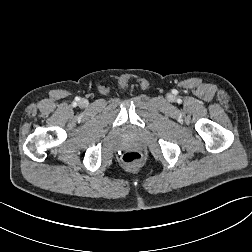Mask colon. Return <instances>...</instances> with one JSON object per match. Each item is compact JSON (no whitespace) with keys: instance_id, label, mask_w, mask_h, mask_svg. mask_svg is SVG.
Listing matches in <instances>:
<instances>
[{"instance_id":"1","label":"colon","mask_w":252,"mask_h":252,"mask_svg":"<svg viewBox=\"0 0 252 252\" xmlns=\"http://www.w3.org/2000/svg\"><path fill=\"white\" fill-rule=\"evenodd\" d=\"M122 160L127 165L136 166L141 162V155L138 152L129 151L123 155Z\"/></svg>"}]
</instances>
